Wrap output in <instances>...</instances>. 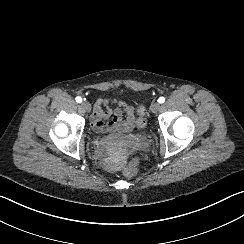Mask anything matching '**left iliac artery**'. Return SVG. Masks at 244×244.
<instances>
[{"instance_id":"44dca946","label":"left iliac artery","mask_w":244,"mask_h":244,"mask_svg":"<svg viewBox=\"0 0 244 244\" xmlns=\"http://www.w3.org/2000/svg\"><path fill=\"white\" fill-rule=\"evenodd\" d=\"M158 102H159V103H164V102H165V98H164V97H160V98L158 99Z\"/></svg>"}]
</instances>
